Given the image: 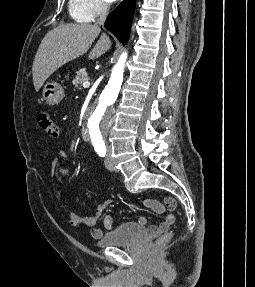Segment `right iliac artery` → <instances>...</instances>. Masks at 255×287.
Listing matches in <instances>:
<instances>
[{
    "mask_svg": "<svg viewBox=\"0 0 255 287\" xmlns=\"http://www.w3.org/2000/svg\"><path fill=\"white\" fill-rule=\"evenodd\" d=\"M96 152L98 153L99 156L104 157L106 154V148L104 147H99L95 149Z\"/></svg>",
    "mask_w": 255,
    "mask_h": 287,
    "instance_id": "obj_1",
    "label": "right iliac artery"
}]
</instances>
